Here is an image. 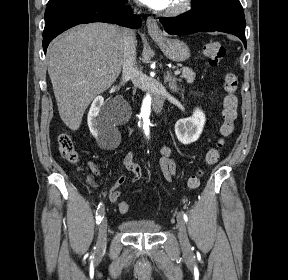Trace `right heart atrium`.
<instances>
[{"label":"right heart atrium","instance_id":"right-heart-atrium-1","mask_svg":"<svg viewBox=\"0 0 288 280\" xmlns=\"http://www.w3.org/2000/svg\"><path fill=\"white\" fill-rule=\"evenodd\" d=\"M134 2H138V0H134Z\"/></svg>","mask_w":288,"mask_h":280}]
</instances>
